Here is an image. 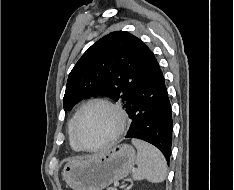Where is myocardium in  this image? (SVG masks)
I'll list each match as a JSON object with an SVG mask.
<instances>
[{
	"label": "myocardium",
	"mask_w": 234,
	"mask_h": 190,
	"mask_svg": "<svg viewBox=\"0 0 234 190\" xmlns=\"http://www.w3.org/2000/svg\"><path fill=\"white\" fill-rule=\"evenodd\" d=\"M96 105L104 106L113 112V114L115 115V117L117 119V128H116L115 132L112 134V136L109 139H107L106 141H104L96 146H93V147H87V146L82 145L78 141L77 135H76L77 127H78V124H79V121H80L82 115L90 107L96 106ZM126 124H127L126 115H125L124 111L122 110V108L118 104H116L108 99H105V98H94V99L87 101L80 108V110L77 112V114L75 116V120L73 122V126H72L71 137H72L73 142L79 148V150L94 152V151L104 149V148L108 147L109 145H111L113 142H115L124 132V130L126 128Z\"/></svg>",
	"instance_id": "myocardium-1"
}]
</instances>
